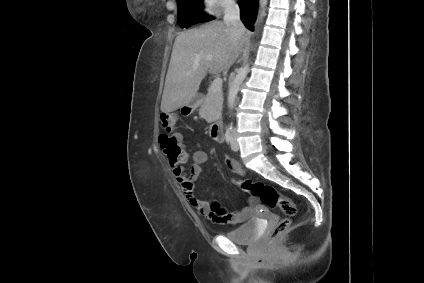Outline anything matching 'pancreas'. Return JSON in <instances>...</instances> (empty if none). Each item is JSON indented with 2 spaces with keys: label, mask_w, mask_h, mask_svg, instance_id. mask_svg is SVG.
Returning a JSON list of instances; mask_svg holds the SVG:
<instances>
[{
  "label": "pancreas",
  "mask_w": 424,
  "mask_h": 283,
  "mask_svg": "<svg viewBox=\"0 0 424 283\" xmlns=\"http://www.w3.org/2000/svg\"><path fill=\"white\" fill-rule=\"evenodd\" d=\"M223 93L222 91L213 93L208 90L207 95L202 99L199 115L207 122H214L219 119L222 111Z\"/></svg>",
  "instance_id": "cf45deb5"
}]
</instances>
